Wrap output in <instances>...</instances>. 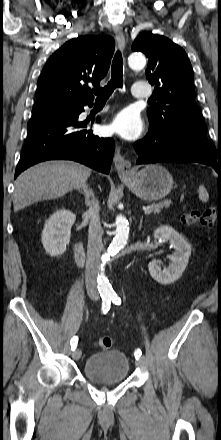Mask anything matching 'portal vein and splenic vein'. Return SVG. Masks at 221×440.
<instances>
[{"mask_svg":"<svg viewBox=\"0 0 221 440\" xmlns=\"http://www.w3.org/2000/svg\"><path fill=\"white\" fill-rule=\"evenodd\" d=\"M143 211L146 215L150 214L152 212L151 207H144Z\"/></svg>","mask_w":221,"mask_h":440,"instance_id":"18ae733b","label":"portal vein and splenic vein"}]
</instances>
